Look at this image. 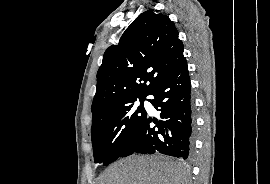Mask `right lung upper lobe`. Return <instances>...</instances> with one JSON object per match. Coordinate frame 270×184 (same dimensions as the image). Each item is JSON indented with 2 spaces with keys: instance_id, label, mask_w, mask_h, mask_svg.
Returning a JSON list of instances; mask_svg holds the SVG:
<instances>
[{
  "instance_id": "1",
  "label": "right lung upper lobe",
  "mask_w": 270,
  "mask_h": 184,
  "mask_svg": "<svg viewBox=\"0 0 270 184\" xmlns=\"http://www.w3.org/2000/svg\"><path fill=\"white\" fill-rule=\"evenodd\" d=\"M183 59L174 23L153 10L140 14L119 43L104 53L92 103L93 123L131 100L146 97Z\"/></svg>"
}]
</instances>
